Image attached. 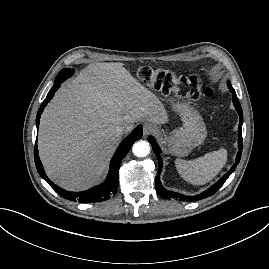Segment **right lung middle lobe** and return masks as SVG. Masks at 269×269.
<instances>
[{"mask_svg":"<svg viewBox=\"0 0 269 269\" xmlns=\"http://www.w3.org/2000/svg\"><path fill=\"white\" fill-rule=\"evenodd\" d=\"M74 70L70 68H64L58 73V79L65 80L73 74Z\"/></svg>","mask_w":269,"mask_h":269,"instance_id":"1","label":"right lung middle lobe"}]
</instances>
